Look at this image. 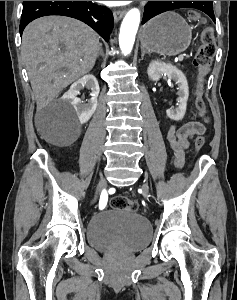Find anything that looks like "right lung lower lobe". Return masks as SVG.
I'll return each instance as SVG.
<instances>
[{"instance_id": "right-lung-lower-lobe-1", "label": "right lung lower lobe", "mask_w": 237, "mask_h": 300, "mask_svg": "<svg viewBox=\"0 0 237 300\" xmlns=\"http://www.w3.org/2000/svg\"><path fill=\"white\" fill-rule=\"evenodd\" d=\"M47 15H63L81 20L107 42L114 23L109 9L91 1H23L20 34L31 21Z\"/></svg>"}]
</instances>
